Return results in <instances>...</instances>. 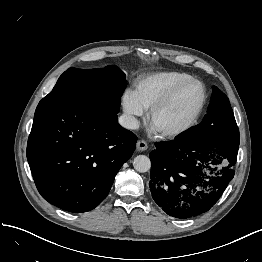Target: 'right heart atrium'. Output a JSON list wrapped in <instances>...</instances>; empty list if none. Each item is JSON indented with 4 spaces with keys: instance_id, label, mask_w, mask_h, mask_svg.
<instances>
[{
    "instance_id": "right-heart-atrium-1",
    "label": "right heart atrium",
    "mask_w": 262,
    "mask_h": 262,
    "mask_svg": "<svg viewBox=\"0 0 262 262\" xmlns=\"http://www.w3.org/2000/svg\"><path fill=\"white\" fill-rule=\"evenodd\" d=\"M123 111L127 117V122L130 127H134L137 124V118L144 114V109L138 103L133 92L127 90L121 99Z\"/></svg>"
}]
</instances>
